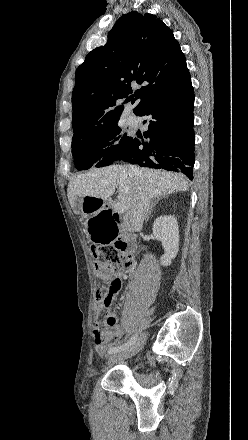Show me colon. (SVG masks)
Segmentation results:
<instances>
[{"label": "colon", "instance_id": "colon-1", "mask_svg": "<svg viewBox=\"0 0 248 440\" xmlns=\"http://www.w3.org/2000/svg\"><path fill=\"white\" fill-rule=\"evenodd\" d=\"M94 257L97 259L95 268L97 275L101 279L108 280L105 289L98 290L97 301L100 305L107 308L113 302V299L120 289L121 283L117 278H113L120 267L128 268L131 266L129 261H125L122 252L117 245L96 246L93 249Z\"/></svg>", "mask_w": 248, "mask_h": 440}]
</instances>
